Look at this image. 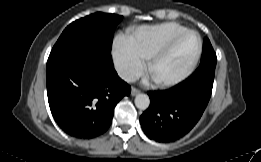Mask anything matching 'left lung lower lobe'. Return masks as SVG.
Segmentation results:
<instances>
[{"label": "left lung lower lobe", "mask_w": 261, "mask_h": 162, "mask_svg": "<svg viewBox=\"0 0 261 162\" xmlns=\"http://www.w3.org/2000/svg\"><path fill=\"white\" fill-rule=\"evenodd\" d=\"M215 66H199L182 83L168 90L148 92L151 103L140 116V123L150 139L172 142L193 129L211 97Z\"/></svg>", "instance_id": "left-lung-lower-lobe-1"}]
</instances>
